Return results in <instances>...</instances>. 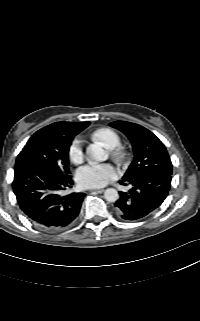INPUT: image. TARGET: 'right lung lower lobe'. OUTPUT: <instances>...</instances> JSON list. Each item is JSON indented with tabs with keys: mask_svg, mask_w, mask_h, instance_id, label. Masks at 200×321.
<instances>
[{
	"mask_svg": "<svg viewBox=\"0 0 200 321\" xmlns=\"http://www.w3.org/2000/svg\"><path fill=\"white\" fill-rule=\"evenodd\" d=\"M73 181L46 167L28 166L15 170L12 183L17 202L36 227L55 232L70 226L80 212L84 193L65 194Z\"/></svg>",
	"mask_w": 200,
	"mask_h": 321,
	"instance_id": "98d812e1",
	"label": "right lung lower lobe"
}]
</instances>
